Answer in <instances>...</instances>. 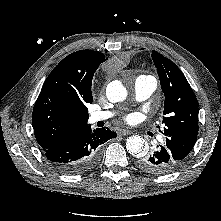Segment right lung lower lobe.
<instances>
[{"label": "right lung lower lobe", "mask_w": 221, "mask_h": 221, "mask_svg": "<svg viewBox=\"0 0 221 221\" xmlns=\"http://www.w3.org/2000/svg\"><path fill=\"white\" fill-rule=\"evenodd\" d=\"M116 133L108 128L91 130L89 125L64 139L44 148L51 165L62 173L81 174L94 168L100 156L101 145L115 138Z\"/></svg>", "instance_id": "right-lung-lower-lobe-1"}]
</instances>
